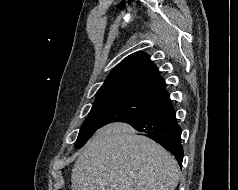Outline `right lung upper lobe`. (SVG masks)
Wrapping results in <instances>:
<instances>
[{"mask_svg": "<svg viewBox=\"0 0 238 190\" xmlns=\"http://www.w3.org/2000/svg\"><path fill=\"white\" fill-rule=\"evenodd\" d=\"M168 95L166 83L150 57L146 53L136 52L110 72L98 90L96 100L131 96L156 104Z\"/></svg>", "mask_w": 238, "mask_h": 190, "instance_id": "1", "label": "right lung upper lobe"}]
</instances>
